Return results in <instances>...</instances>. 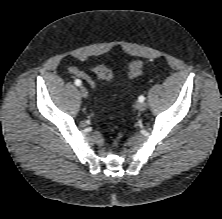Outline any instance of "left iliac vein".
I'll list each match as a JSON object with an SVG mask.
<instances>
[{"label": "left iliac vein", "instance_id": "left-iliac-vein-1", "mask_svg": "<svg viewBox=\"0 0 222 219\" xmlns=\"http://www.w3.org/2000/svg\"><path fill=\"white\" fill-rule=\"evenodd\" d=\"M136 108L140 111H144L147 108V104L144 101H139L136 104Z\"/></svg>", "mask_w": 222, "mask_h": 219}]
</instances>
